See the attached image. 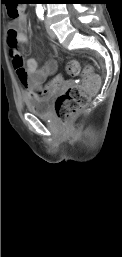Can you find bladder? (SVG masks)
Wrapping results in <instances>:
<instances>
[{
    "label": "bladder",
    "instance_id": "1",
    "mask_svg": "<svg viewBox=\"0 0 122 257\" xmlns=\"http://www.w3.org/2000/svg\"><path fill=\"white\" fill-rule=\"evenodd\" d=\"M24 102L27 109L39 117H47L51 111L50 96H32L26 98Z\"/></svg>",
    "mask_w": 122,
    "mask_h": 257
}]
</instances>
